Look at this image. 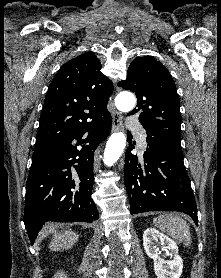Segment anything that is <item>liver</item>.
I'll return each instance as SVG.
<instances>
[{
  "label": "liver",
  "mask_w": 221,
  "mask_h": 278,
  "mask_svg": "<svg viewBox=\"0 0 221 278\" xmlns=\"http://www.w3.org/2000/svg\"><path fill=\"white\" fill-rule=\"evenodd\" d=\"M51 227L52 233H54V237L50 244V249L53 251H63L70 249L79 238V235L71 230L65 231L64 233L57 234L55 229Z\"/></svg>",
  "instance_id": "6515ba94"
}]
</instances>
